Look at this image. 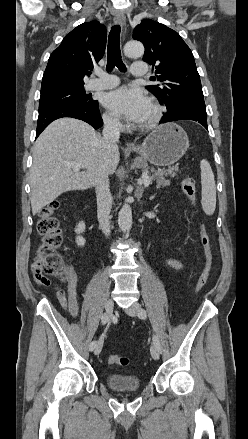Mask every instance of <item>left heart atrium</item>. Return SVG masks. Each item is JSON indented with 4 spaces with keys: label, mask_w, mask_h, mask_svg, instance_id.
I'll return each mask as SVG.
<instances>
[{
    "label": "left heart atrium",
    "mask_w": 248,
    "mask_h": 439,
    "mask_svg": "<svg viewBox=\"0 0 248 439\" xmlns=\"http://www.w3.org/2000/svg\"><path fill=\"white\" fill-rule=\"evenodd\" d=\"M103 104L128 121L141 122L149 107V100L141 89L122 86L107 93Z\"/></svg>",
    "instance_id": "1"
}]
</instances>
